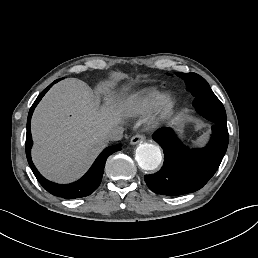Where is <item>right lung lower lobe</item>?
Returning a JSON list of instances; mask_svg holds the SVG:
<instances>
[{"mask_svg":"<svg viewBox=\"0 0 258 258\" xmlns=\"http://www.w3.org/2000/svg\"><path fill=\"white\" fill-rule=\"evenodd\" d=\"M59 80L54 81L45 90H43L40 93V95L37 97V99L35 100L34 104L32 105L29 111L28 120H27V134H26V156L35 177L49 193L64 199H75V198L88 196L98 188L102 180L105 163L108 156H110L112 153L116 151L121 150V145H114V146L105 148L101 152V154L97 157V159L95 160L91 168L88 170V172L81 179L71 184H56V183L50 182L38 172V170L36 169V167L34 166L31 160V153H30L31 147L33 144L31 129H30L31 117L35 107L42 99V97L45 95V93L50 89V87L54 83L58 82Z\"/></svg>","mask_w":258,"mask_h":258,"instance_id":"1","label":"right lung lower lobe"}]
</instances>
